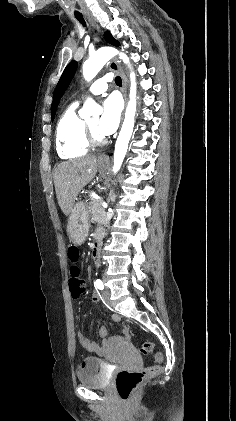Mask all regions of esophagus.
I'll use <instances>...</instances> for the list:
<instances>
[{"label": "esophagus", "mask_w": 236, "mask_h": 421, "mask_svg": "<svg viewBox=\"0 0 236 421\" xmlns=\"http://www.w3.org/2000/svg\"><path fill=\"white\" fill-rule=\"evenodd\" d=\"M87 18H88L89 22L91 23V25L93 26V28L96 29L97 32H100V28H99L98 24L96 23V21L93 20V18L90 17V16H87ZM110 70L117 71L121 75L122 82H123L121 91H122V94H123L124 102L126 104L127 103V93H126L127 80H126V76H125L124 71L121 69V67L117 63V59L116 58H113L110 61ZM98 159L100 161H108L109 160V157H108V154L107 153H102L99 156Z\"/></svg>", "instance_id": "34e87169"}]
</instances>
